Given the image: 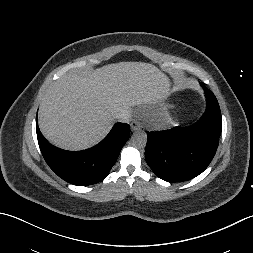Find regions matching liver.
Wrapping results in <instances>:
<instances>
[{"label": "liver", "instance_id": "6515ba94", "mask_svg": "<svg viewBox=\"0 0 253 253\" xmlns=\"http://www.w3.org/2000/svg\"><path fill=\"white\" fill-rule=\"evenodd\" d=\"M170 80L143 62L72 70L52 83L42 98L38 122L44 137L67 150L99 143L112 129L115 114L166 97Z\"/></svg>", "mask_w": 253, "mask_h": 253}]
</instances>
